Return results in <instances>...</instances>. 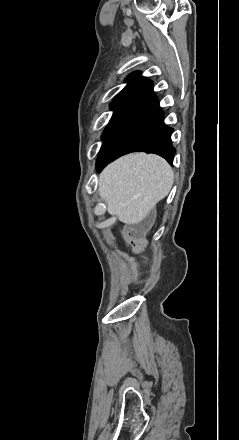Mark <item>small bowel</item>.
<instances>
[{
    "instance_id": "c3829d8e",
    "label": "small bowel",
    "mask_w": 239,
    "mask_h": 440,
    "mask_svg": "<svg viewBox=\"0 0 239 440\" xmlns=\"http://www.w3.org/2000/svg\"><path fill=\"white\" fill-rule=\"evenodd\" d=\"M136 252H137V253H140V251H139V250H137Z\"/></svg>"
}]
</instances>
